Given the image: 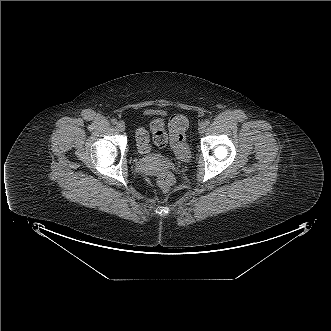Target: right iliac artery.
<instances>
[{
    "label": "right iliac artery",
    "mask_w": 331,
    "mask_h": 331,
    "mask_svg": "<svg viewBox=\"0 0 331 331\" xmlns=\"http://www.w3.org/2000/svg\"><path fill=\"white\" fill-rule=\"evenodd\" d=\"M111 122H112V124H117V120L116 119H112Z\"/></svg>",
    "instance_id": "82829eb1"
}]
</instances>
